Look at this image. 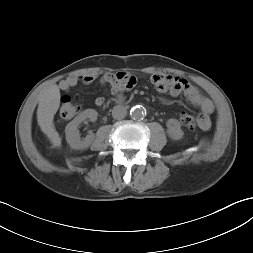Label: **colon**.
<instances>
[{"mask_svg":"<svg viewBox=\"0 0 253 253\" xmlns=\"http://www.w3.org/2000/svg\"><path fill=\"white\" fill-rule=\"evenodd\" d=\"M79 111L80 105L69 96H64L59 110V120L61 122L68 121L76 116ZM179 122L183 127L190 131L196 130L199 125V120L186 112H181L179 114Z\"/></svg>","mask_w":253,"mask_h":253,"instance_id":"obj_1","label":"colon"}]
</instances>
